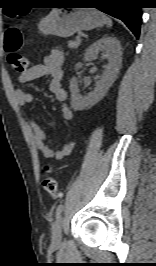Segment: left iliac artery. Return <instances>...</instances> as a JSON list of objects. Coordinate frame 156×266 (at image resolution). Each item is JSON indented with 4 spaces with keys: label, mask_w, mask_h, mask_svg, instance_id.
Returning <instances> with one entry per match:
<instances>
[{
    "label": "left iliac artery",
    "mask_w": 156,
    "mask_h": 266,
    "mask_svg": "<svg viewBox=\"0 0 156 266\" xmlns=\"http://www.w3.org/2000/svg\"><path fill=\"white\" fill-rule=\"evenodd\" d=\"M64 206L62 204H60L57 209H56V218H58L60 216V214L63 211Z\"/></svg>",
    "instance_id": "left-iliac-artery-1"
}]
</instances>
